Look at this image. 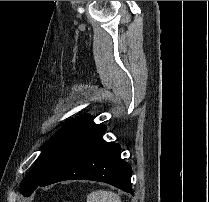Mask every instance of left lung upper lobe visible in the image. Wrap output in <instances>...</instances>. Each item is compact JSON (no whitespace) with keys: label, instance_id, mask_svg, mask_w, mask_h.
I'll list each match as a JSON object with an SVG mask.
<instances>
[{"label":"left lung upper lobe","instance_id":"left-lung-upper-lobe-1","mask_svg":"<svg viewBox=\"0 0 209 202\" xmlns=\"http://www.w3.org/2000/svg\"><path fill=\"white\" fill-rule=\"evenodd\" d=\"M88 115L80 116L58 130L47 143L46 147L34 162L32 168L20 184V192L24 196L31 193L42 183L49 173L61 147L71 134L87 119Z\"/></svg>","mask_w":209,"mask_h":202}]
</instances>
